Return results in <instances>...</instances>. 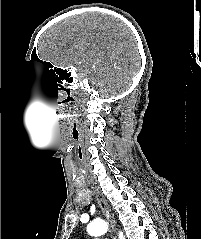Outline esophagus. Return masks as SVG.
I'll list each match as a JSON object with an SVG mask.
<instances>
[{
  "label": "esophagus",
  "mask_w": 201,
  "mask_h": 239,
  "mask_svg": "<svg viewBox=\"0 0 201 239\" xmlns=\"http://www.w3.org/2000/svg\"><path fill=\"white\" fill-rule=\"evenodd\" d=\"M95 194H96L99 206H100L101 210L103 211L108 223L110 224L112 231L115 232L116 222H115L114 215L111 211V208H110L107 200L105 199V197L101 194V192L98 189L95 190Z\"/></svg>",
  "instance_id": "1"
}]
</instances>
